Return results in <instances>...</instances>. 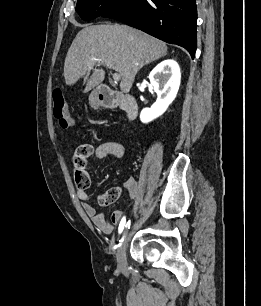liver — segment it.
Wrapping results in <instances>:
<instances>
[{"label": "liver", "mask_w": 261, "mask_h": 306, "mask_svg": "<svg viewBox=\"0 0 261 306\" xmlns=\"http://www.w3.org/2000/svg\"><path fill=\"white\" fill-rule=\"evenodd\" d=\"M166 52L164 42L126 25L87 26L78 32L68 49L64 62L65 83L71 86L93 69L84 89L87 93L103 82L105 71L100 66L104 65L120 75V89L128 93L138 71ZM92 58L97 61L89 67Z\"/></svg>", "instance_id": "liver-1"}]
</instances>
